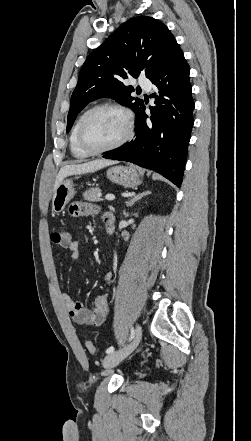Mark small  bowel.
Listing matches in <instances>:
<instances>
[{
    "instance_id": "obj_1",
    "label": "small bowel",
    "mask_w": 251,
    "mask_h": 441,
    "mask_svg": "<svg viewBox=\"0 0 251 441\" xmlns=\"http://www.w3.org/2000/svg\"><path fill=\"white\" fill-rule=\"evenodd\" d=\"M70 211L75 216H86L97 213V209L89 203H75L71 206ZM109 218L114 219V216L111 213H104L102 216L104 222ZM67 248L72 260L76 261L80 258V248L77 241H72ZM103 281L107 284L112 283V272H105ZM61 302L68 311L69 316L78 325L98 327L103 325L106 321L109 311L108 295L106 293L97 296L93 304L89 307L84 306L80 301L74 300L68 293L61 294Z\"/></svg>"
}]
</instances>
